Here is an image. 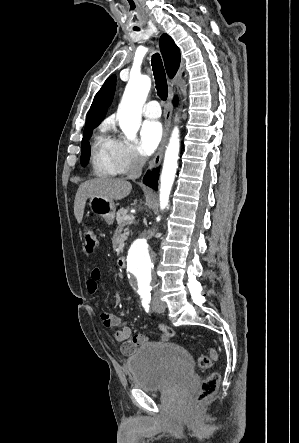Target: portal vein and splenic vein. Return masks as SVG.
<instances>
[{
  "label": "portal vein and splenic vein",
  "mask_w": 299,
  "mask_h": 443,
  "mask_svg": "<svg viewBox=\"0 0 299 443\" xmlns=\"http://www.w3.org/2000/svg\"><path fill=\"white\" fill-rule=\"evenodd\" d=\"M126 220H134V216L133 215H129L125 217Z\"/></svg>",
  "instance_id": "1"
}]
</instances>
